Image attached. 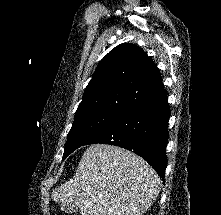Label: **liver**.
Instances as JSON below:
<instances>
[{
	"mask_svg": "<svg viewBox=\"0 0 221 215\" xmlns=\"http://www.w3.org/2000/svg\"><path fill=\"white\" fill-rule=\"evenodd\" d=\"M160 189V178L143 158L118 146L93 144L73 178L53 190L52 199L74 201L81 215H142Z\"/></svg>",
	"mask_w": 221,
	"mask_h": 215,
	"instance_id": "obj_1",
	"label": "liver"
}]
</instances>
